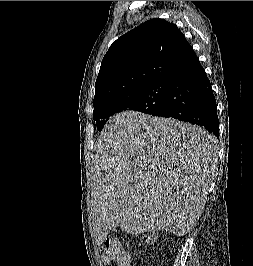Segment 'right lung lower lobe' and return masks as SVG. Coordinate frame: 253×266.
Instances as JSON below:
<instances>
[{
    "label": "right lung lower lobe",
    "mask_w": 253,
    "mask_h": 266,
    "mask_svg": "<svg viewBox=\"0 0 253 266\" xmlns=\"http://www.w3.org/2000/svg\"><path fill=\"white\" fill-rule=\"evenodd\" d=\"M156 116L196 124L219 137L216 100L199 60L170 79L163 108Z\"/></svg>",
    "instance_id": "1"
}]
</instances>
